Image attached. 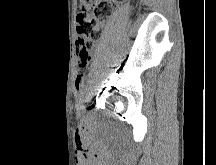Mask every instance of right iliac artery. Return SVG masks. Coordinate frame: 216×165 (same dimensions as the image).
Listing matches in <instances>:
<instances>
[{
    "instance_id": "1",
    "label": "right iliac artery",
    "mask_w": 216,
    "mask_h": 165,
    "mask_svg": "<svg viewBox=\"0 0 216 165\" xmlns=\"http://www.w3.org/2000/svg\"><path fill=\"white\" fill-rule=\"evenodd\" d=\"M87 88H86V99L88 100L89 98H91V86L88 84L87 86H86ZM81 99V102L79 103L81 106L83 105V104H86V99Z\"/></svg>"
}]
</instances>
